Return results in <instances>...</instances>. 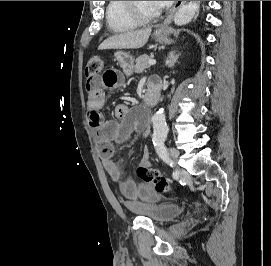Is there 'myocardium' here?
<instances>
[{
	"label": "myocardium",
	"instance_id": "f54148a6",
	"mask_svg": "<svg viewBox=\"0 0 271 266\" xmlns=\"http://www.w3.org/2000/svg\"><path fill=\"white\" fill-rule=\"evenodd\" d=\"M124 8L131 19L138 24H148L156 21L160 17V13L154 15H144L136 7V1H124Z\"/></svg>",
	"mask_w": 271,
	"mask_h": 266
}]
</instances>
